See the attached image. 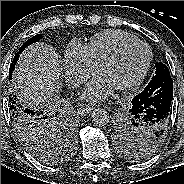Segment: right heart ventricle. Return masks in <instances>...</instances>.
<instances>
[{
	"mask_svg": "<svg viewBox=\"0 0 184 184\" xmlns=\"http://www.w3.org/2000/svg\"><path fill=\"white\" fill-rule=\"evenodd\" d=\"M138 39L120 30H107L96 34L86 45L90 56L97 65L123 43Z\"/></svg>",
	"mask_w": 184,
	"mask_h": 184,
	"instance_id": "1",
	"label": "right heart ventricle"
}]
</instances>
